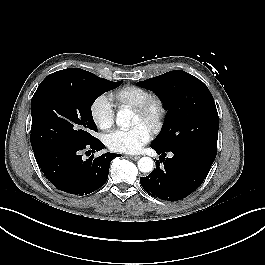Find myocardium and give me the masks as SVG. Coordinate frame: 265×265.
<instances>
[{"label":"myocardium","mask_w":265,"mask_h":265,"mask_svg":"<svg viewBox=\"0 0 265 265\" xmlns=\"http://www.w3.org/2000/svg\"><path fill=\"white\" fill-rule=\"evenodd\" d=\"M134 112L152 131H157L162 126L167 109L164 100L160 96L151 95L135 107Z\"/></svg>","instance_id":"obj_1"}]
</instances>
